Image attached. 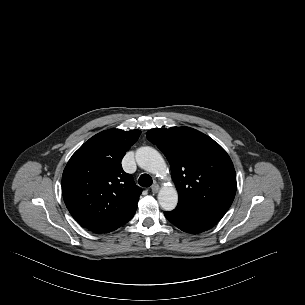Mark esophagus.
Segmentation results:
<instances>
[{
	"instance_id": "34e87169",
	"label": "esophagus",
	"mask_w": 305,
	"mask_h": 305,
	"mask_svg": "<svg viewBox=\"0 0 305 305\" xmlns=\"http://www.w3.org/2000/svg\"><path fill=\"white\" fill-rule=\"evenodd\" d=\"M151 191L153 192V193H157L158 191H159V185L158 184H153L152 186H151Z\"/></svg>"
}]
</instances>
